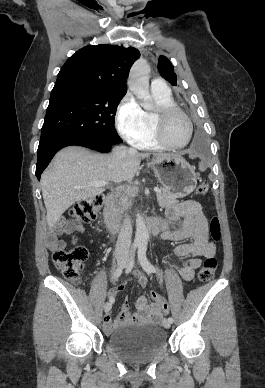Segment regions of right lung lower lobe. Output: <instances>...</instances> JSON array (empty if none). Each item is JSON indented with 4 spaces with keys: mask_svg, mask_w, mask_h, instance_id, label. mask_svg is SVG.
I'll use <instances>...</instances> for the list:
<instances>
[{
    "mask_svg": "<svg viewBox=\"0 0 265 388\" xmlns=\"http://www.w3.org/2000/svg\"><path fill=\"white\" fill-rule=\"evenodd\" d=\"M69 145L84 146L102 153L110 151L113 146L111 144L96 142L76 133H61L42 139L39 142L37 150L38 161L36 165V176L38 180L55 153Z\"/></svg>",
    "mask_w": 265,
    "mask_h": 388,
    "instance_id": "98d812e1",
    "label": "right lung lower lobe"
}]
</instances>
